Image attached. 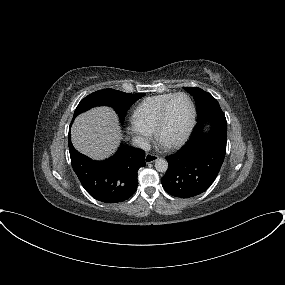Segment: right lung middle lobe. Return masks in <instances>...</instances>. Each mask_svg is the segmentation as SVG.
Instances as JSON below:
<instances>
[{"instance_id":"right-lung-middle-lobe-1","label":"right lung middle lobe","mask_w":285,"mask_h":285,"mask_svg":"<svg viewBox=\"0 0 285 285\" xmlns=\"http://www.w3.org/2000/svg\"><path fill=\"white\" fill-rule=\"evenodd\" d=\"M144 93L128 94L122 91L113 89H103L91 93L85 97L76 107L73 119L82 112L89 110L95 106L112 107L120 117V122L123 123L128 109L138 99L143 97Z\"/></svg>"}]
</instances>
